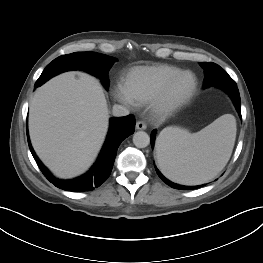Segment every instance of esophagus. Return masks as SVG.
Masks as SVG:
<instances>
[{"instance_id": "esophagus-1", "label": "esophagus", "mask_w": 263, "mask_h": 263, "mask_svg": "<svg viewBox=\"0 0 263 263\" xmlns=\"http://www.w3.org/2000/svg\"><path fill=\"white\" fill-rule=\"evenodd\" d=\"M147 128L146 124L142 121L136 122V129L137 130H145Z\"/></svg>"}]
</instances>
